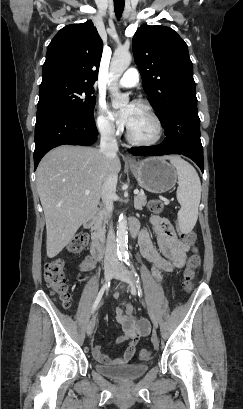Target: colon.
I'll return each mask as SVG.
<instances>
[{
    "mask_svg": "<svg viewBox=\"0 0 243 409\" xmlns=\"http://www.w3.org/2000/svg\"><path fill=\"white\" fill-rule=\"evenodd\" d=\"M164 209V204L159 199H153L149 202V210L153 214H160ZM181 237L184 242L192 247V254L187 262L184 270V288L190 291L193 287V280L196 276L201 258L195 247L196 234L193 231L181 232ZM87 244V236L85 234L76 235L71 241V251L74 253L80 252ZM44 278L47 285L52 290V293L58 298L63 307L70 305L71 294L68 291L67 279L63 269V261L60 258H54L48 261L44 266ZM151 358L149 349H142L139 352V359L147 361Z\"/></svg>",
    "mask_w": 243,
    "mask_h": 409,
    "instance_id": "colon-1",
    "label": "colon"
}]
</instances>
